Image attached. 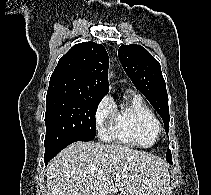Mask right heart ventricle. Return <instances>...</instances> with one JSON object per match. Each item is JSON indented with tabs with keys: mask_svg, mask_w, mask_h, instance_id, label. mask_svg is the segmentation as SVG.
Returning <instances> with one entry per match:
<instances>
[{
	"mask_svg": "<svg viewBox=\"0 0 211 195\" xmlns=\"http://www.w3.org/2000/svg\"><path fill=\"white\" fill-rule=\"evenodd\" d=\"M159 128V120L152 109L140 96L133 95L120 109L114 107L110 137L127 146L150 148L158 139Z\"/></svg>",
	"mask_w": 211,
	"mask_h": 195,
	"instance_id": "obj_1",
	"label": "right heart ventricle"
}]
</instances>
